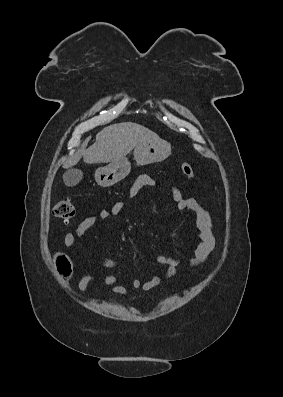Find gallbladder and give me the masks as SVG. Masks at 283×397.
<instances>
[{
    "instance_id": "gallbladder-1",
    "label": "gallbladder",
    "mask_w": 283,
    "mask_h": 397,
    "mask_svg": "<svg viewBox=\"0 0 283 397\" xmlns=\"http://www.w3.org/2000/svg\"><path fill=\"white\" fill-rule=\"evenodd\" d=\"M83 177L82 171L78 169H71L64 173L63 181L66 186L72 187L77 185Z\"/></svg>"
}]
</instances>
